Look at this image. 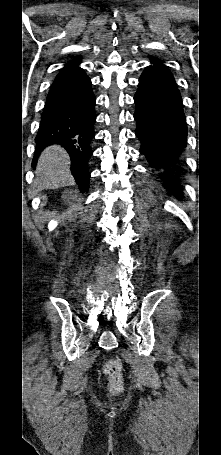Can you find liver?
Wrapping results in <instances>:
<instances>
[{"label": "liver", "instance_id": "liver-1", "mask_svg": "<svg viewBox=\"0 0 221 455\" xmlns=\"http://www.w3.org/2000/svg\"><path fill=\"white\" fill-rule=\"evenodd\" d=\"M69 157L58 145L49 146L39 157L35 185L39 189H54L70 181Z\"/></svg>", "mask_w": 221, "mask_h": 455}]
</instances>
